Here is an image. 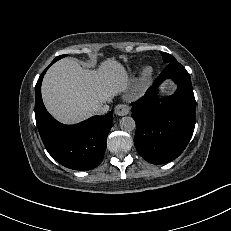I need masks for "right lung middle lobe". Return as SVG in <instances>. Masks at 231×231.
Here are the masks:
<instances>
[{
	"label": "right lung middle lobe",
	"instance_id": "dd1d6c3e",
	"mask_svg": "<svg viewBox=\"0 0 231 231\" xmlns=\"http://www.w3.org/2000/svg\"><path fill=\"white\" fill-rule=\"evenodd\" d=\"M65 57V55H61V56H58L57 58H55L56 60H59L61 58Z\"/></svg>",
	"mask_w": 231,
	"mask_h": 231
}]
</instances>
